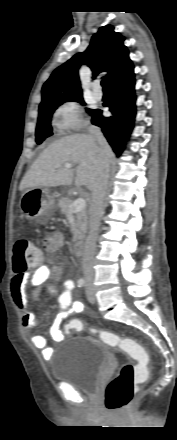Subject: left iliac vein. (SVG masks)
Here are the masks:
<instances>
[{"mask_svg": "<svg viewBox=\"0 0 177 440\" xmlns=\"http://www.w3.org/2000/svg\"><path fill=\"white\" fill-rule=\"evenodd\" d=\"M86 289H87V296H88L89 302L90 303H95L96 302V296H95L93 288L90 285H87Z\"/></svg>", "mask_w": 177, "mask_h": 440, "instance_id": "obj_1", "label": "left iliac vein"}]
</instances>
